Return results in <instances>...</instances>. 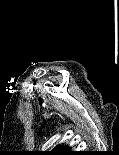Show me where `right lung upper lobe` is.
<instances>
[{
	"label": "right lung upper lobe",
	"mask_w": 119,
	"mask_h": 155,
	"mask_svg": "<svg viewBox=\"0 0 119 155\" xmlns=\"http://www.w3.org/2000/svg\"><path fill=\"white\" fill-rule=\"evenodd\" d=\"M70 151V147H64L63 145L57 146L52 151H45V155H67V153Z\"/></svg>",
	"instance_id": "cb5924a9"
}]
</instances>
